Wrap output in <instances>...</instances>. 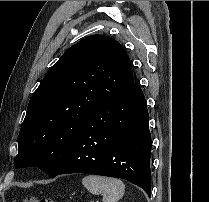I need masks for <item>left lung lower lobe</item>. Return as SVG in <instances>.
Segmentation results:
<instances>
[{"label":"left lung lower lobe","instance_id":"left-lung-lower-lobe-1","mask_svg":"<svg viewBox=\"0 0 209 202\" xmlns=\"http://www.w3.org/2000/svg\"><path fill=\"white\" fill-rule=\"evenodd\" d=\"M144 94L137 83L92 112L72 149L51 177L87 173L117 177L151 195V134Z\"/></svg>","mask_w":209,"mask_h":202}]
</instances>
